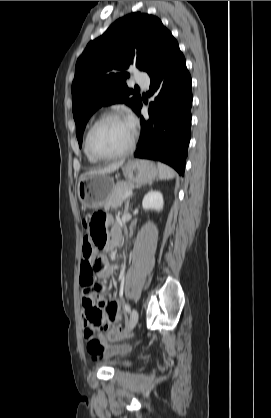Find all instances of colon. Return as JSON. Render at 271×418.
<instances>
[{
  "label": "colon",
  "mask_w": 271,
  "mask_h": 418,
  "mask_svg": "<svg viewBox=\"0 0 271 418\" xmlns=\"http://www.w3.org/2000/svg\"><path fill=\"white\" fill-rule=\"evenodd\" d=\"M85 226L89 230V244H94L95 249L104 248L107 241L106 216L103 213H96L86 221ZM87 316L91 323V327L87 330V335L90 338L89 346L98 350L101 348L98 335L107 328V325L102 321L98 310H88Z\"/></svg>",
  "instance_id": "obj_1"
}]
</instances>
